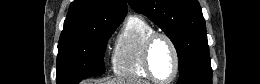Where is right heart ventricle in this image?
<instances>
[{
  "label": "right heart ventricle",
  "mask_w": 260,
  "mask_h": 84,
  "mask_svg": "<svg viewBox=\"0 0 260 84\" xmlns=\"http://www.w3.org/2000/svg\"><path fill=\"white\" fill-rule=\"evenodd\" d=\"M153 27L139 15L127 18L112 52L111 66L115 75L131 79H149L143 66V48Z\"/></svg>",
  "instance_id": "right-heart-ventricle-1"
}]
</instances>
